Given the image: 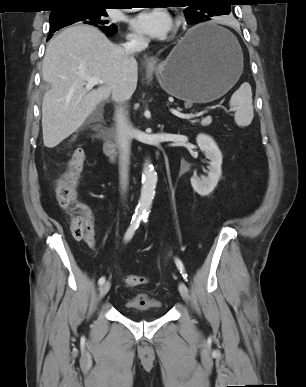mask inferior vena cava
I'll list each match as a JSON object with an SVG mask.
<instances>
[{"label": "inferior vena cava", "instance_id": "obj_1", "mask_svg": "<svg viewBox=\"0 0 306 387\" xmlns=\"http://www.w3.org/2000/svg\"><path fill=\"white\" fill-rule=\"evenodd\" d=\"M148 46V40L140 37H130L128 42L123 45V49L126 54V64L128 58L133 57L136 53L141 52ZM133 94V90L126 84L123 83L114 92V100L117 103L115 111V122H116V135L117 144L120 153V185L122 191L125 192L128 184V165L130 157V144H131V124L127 117V111L125 110L126 103Z\"/></svg>", "mask_w": 306, "mask_h": 387}]
</instances>
